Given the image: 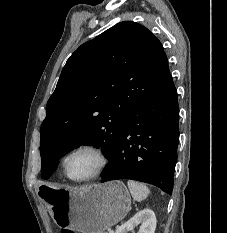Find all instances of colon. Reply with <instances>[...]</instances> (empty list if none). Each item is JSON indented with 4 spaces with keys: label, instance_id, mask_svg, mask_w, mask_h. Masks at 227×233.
I'll return each mask as SVG.
<instances>
[{
    "label": "colon",
    "instance_id": "5ec220e1",
    "mask_svg": "<svg viewBox=\"0 0 227 233\" xmlns=\"http://www.w3.org/2000/svg\"><path fill=\"white\" fill-rule=\"evenodd\" d=\"M61 233H75V232L72 230L63 229L61 230Z\"/></svg>",
    "mask_w": 227,
    "mask_h": 233
}]
</instances>
